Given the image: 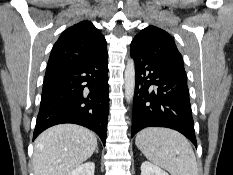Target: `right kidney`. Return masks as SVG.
Instances as JSON below:
<instances>
[{
    "instance_id": "obj_1",
    "label": "right kidney",
    "mask_w": 233,
    "mask_h": 175,
    "mask_svg": "<svg viewBox=\"0 0 233 175\" xmlns=\"http://www.w3.org/2000/svg\"><path fill=\"white\" fill-rule=\"evenodd\" d=\"M95 164L86 162L72 170L68 175H94Z\"/></svg>"
}]
</instances>
